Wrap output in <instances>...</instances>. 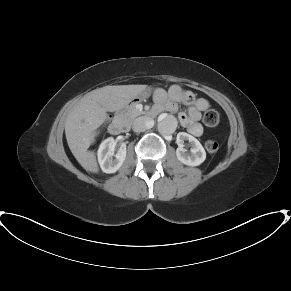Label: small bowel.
Returning <instances> with one entry per match:
<instances>
[{
  "instance_id": "c3829d8e",
  "label": "small bowel",
  "mask_w": 291,
  "mask_h": 291,
  "mask_svg": "<svg viewBox=\"0 0 291 291\" xmlns=\"http://www.w3.org/2000/svg\"><path fill=\"white\" fill-rule=\"evenodd\" d=\"M154 101V113L156 114L162 111L176 113L179 104L188 105V113H179V120L193 136L199 137L202 135L203 127L199 120L201 113L209 108V102L206 99L198 98L180 86H173L168 92L160 88L156 89L154 92Z\"/></svg>"
}]
</instances>
